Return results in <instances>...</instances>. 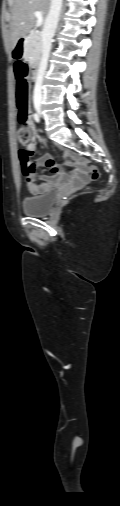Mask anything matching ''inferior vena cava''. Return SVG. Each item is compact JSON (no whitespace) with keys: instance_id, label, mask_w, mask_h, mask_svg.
I'll return each instance as SVG.
<instances>
[{"instance_id":"inferior-vena-cava-1","label":"inferior vena cava","mask_w":120,"mask_h":506,"mask_svg":"<svg viewBox=\"0 0 120 506\" xmlns=\"http://www.w3.org/2000/svg\"><path fill=\"white\" fill-rule=\"evenodd\" d=\"M63 0H51L50 9L45 19L42 31V58L39 65L38 77L34 88V102L42 100V81L47 69L48 59L52 46V39L57 29Z\"/></svg>"}]
</instances>
